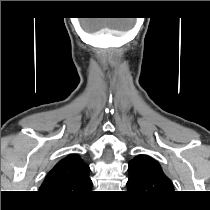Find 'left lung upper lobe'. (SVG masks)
<instances>
[{"instance_id":"left-lung-upper-lobe-1","label":"left lung upper lobe","mask_w":210,"mask_h":210,"mask_svg":"<svg viewBox=\"0 0 210 210\" xmlns=\"http://www.w3.org/2000/svg\"><path fill=\"white\" fill-rule=\"evenodd\" d=\"M128 190L150 196H163L174 191L171 180L158 162L148 155H138L129 162Z\"/></svg>"}]
</instances>
